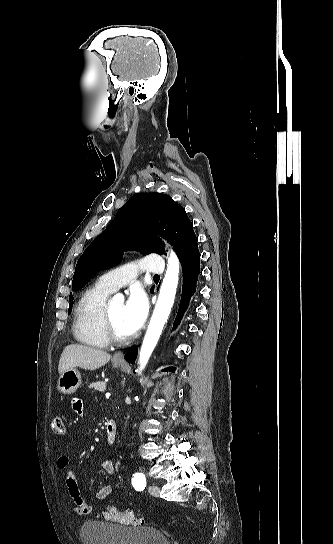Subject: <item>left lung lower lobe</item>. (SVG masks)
<instances>
[{
	"label": "left lung lower lobe",
	"instance_id": "obj_1",
	"mask_svg": "<svg viewBox=\"0 0 333 544\" xmlns=\"http://www.w3.org/2000/svg\"><path fill=\"white\" fill-rule=\"evenodd\" d=\"M183 271V286L180 306L176 320L173 325V329L179 323L183 313L185 312L192 294L196 291V283L198 281V275L200 274V254L198 247L192 249L182 260ZM153 293V292H152ZM137 356V349L131 348L125 355V359L129 363H134ZM174 368H167L164 371H173Z\"/></svg>",
	"mask_w": 333,
	"mask_h": 544
}]
</instances>
